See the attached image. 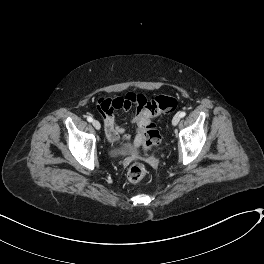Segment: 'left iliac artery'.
<instances>
[{
	"instance_id": "1",
	"label": "left iliac artery",
	"mask_w": 264,
	"mask_h": 264,
	"mask_svg": "<svg viewBox=\"0 0 264 264\" xmlns=\"http://www.w3.org/2000/svg\"><path fill=\"white\" fill-rule=\"evenodd\" d=\"M186 115V112H184V111H182V112H180L179 113V116L182 118V117H184Z\"/></svg>"
}]
</instances>
